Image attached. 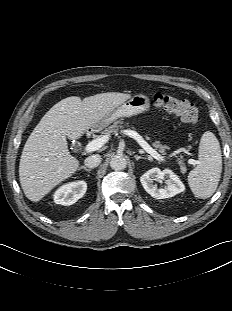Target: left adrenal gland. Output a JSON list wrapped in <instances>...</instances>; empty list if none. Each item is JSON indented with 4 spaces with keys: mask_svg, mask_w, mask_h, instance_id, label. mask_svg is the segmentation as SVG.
Here are the masks:
<instances>
[{
    "mask_svg": "<svg viewBox=\"0 0 232 311\" xmlns=\"http://www.w3.org/2000/svg\"><path fill=\"white\" fill-rule=\"evenodd\" d=\"M134 158H135L136 160H139V159H148V160H149V158L141 157V156H138V155H134Z\"/></svg>",
    "mask_w": 232,
    "mask_h": 311,
    "instance_id": "1",
    "label": "left adrenal gland"
}]
</instances>
